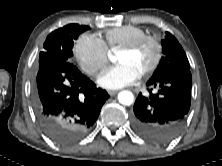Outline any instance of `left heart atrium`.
Here are the masks:
<instances>
[{
    "label": "left heart atrium",
    "instance_id": "1",
    "mask_svg": "<svg viewBox=\"0 0 222 166\" xmlns=\"http://www.w3.org/2000/svg\"><path fill=\"white\" fill-rule=\"evenodd\" d=\"M140 77V73L126 63H119L104 70L98 84L106 89H119L133 84Z\"/></svg>",
    "mask_w": 222,
    "mask_h": 166
}]
</instances>
